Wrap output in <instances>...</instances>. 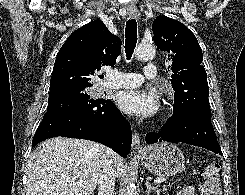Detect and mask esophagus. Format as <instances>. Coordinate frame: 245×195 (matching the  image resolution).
<instances>
[{"label": "esophagus", "mask_w": 245, "mask_h": 195, "mask_svg": "<svg viewBox=\"0 0 245 195\" xmlns=\"http://www.w3.org/2000/svg\"><path fill=\"white\" fill-rule=\"evenodd\" d=\"M127 13L130 18H138L139 16V11L136 6H128ZM131 150L133 153L141 152V141L139 134L136 131H134L132 135Z\"/></svg>", "instance_id": "34e87169"}]
</instances>
